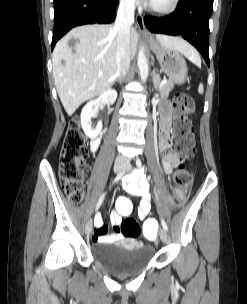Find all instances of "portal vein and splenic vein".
<instances>
[{"label":"portal vein and splenic vein","mask_w":247,"mask_h":304,"mask_svg":"<svg viewBox=\"0 0 247 304\" xmlns=\"http://www.w3.org/2000/svg\"><path fill=\"white\" fill-rule=\"evenodd\" d=\"M166 82H167V80H166V79H163L162 82L160 83V87H161L162 85H164Z\"/></svg>","instance_id":"1"}]
</instances>
